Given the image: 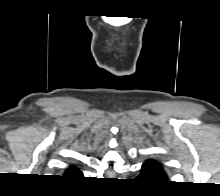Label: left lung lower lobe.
I'll return each mask as SVG.
<instances>
[{
	"label": "left lung lower lobe",
	"instance_id": "obj_1",
	"mask_svg": "<svg viewBox=\"0 0 220 196\" xmlns=\"http://www.w3.org/2000/svg\"><path fill=\"white\" fill-rule=\"evenodd\" d=\"M145 183H163L166 182V177L162 172L151 162L146 161L142 165L141 174L137 178Z\"/></svg>",
	"mask_w": 220,
	"mask_h": 196
}]
</instances>
